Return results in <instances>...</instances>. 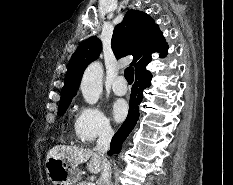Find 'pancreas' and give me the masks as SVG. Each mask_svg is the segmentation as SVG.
Returning a JSON list of instances; mask_svg holds the SVG:
<instances>
[{"label": "pancreas", "mask_w": 233, "mask_h": 185, "mask_svg": "<svg viewBox=\"0 0 233 185\" xmlns=\"http://www.w3.org/2000/svg\"><path fill=\"white\" fill-rule=\"evenodd\" d=\"M88 184V182H86V181H82V182H80L79 184H77V185H87Z\"/></svg>", "instance_id": "pancreas-1"}]
</instances>
